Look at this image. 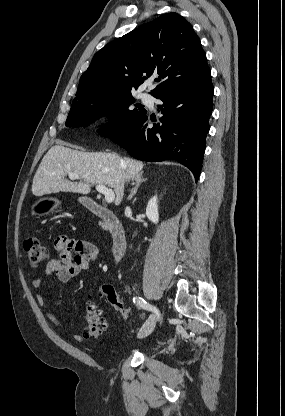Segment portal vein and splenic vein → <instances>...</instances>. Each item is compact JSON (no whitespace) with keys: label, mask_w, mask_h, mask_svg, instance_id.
<instances>
[{"label":"portal vein and splenic vein","mask_w":285,"mask_h":416,"mask_svg":"<svg viewBox=\"0 0 285 416\" xmlns=\"http://www.w3.org/2000/svg\"><path fill=\"white\" fill-rule=\"evenodd\" d=\"M68 176L70 180H80L78 174H68ZM96 190L99 194H104L107 204H112V202H114L115 194L113 190L106 188V186H96Z\"/></svg>","instance_id":"1"}]
</instances>
